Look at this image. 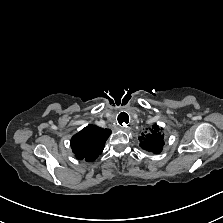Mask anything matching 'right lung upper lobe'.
Instances as JSON below:
<instances>
[{
    "instance_id": "obj_1",
    "label": "right lung upper lobe",
    "mask_w": 223,
    "mask_h": 223,
    "mask_svg": "<svg viewBox=\"0 0 223 223\" xmlns=\"http://www.w3.org/2000/svg\"><path fill=\"white\" fill-rule=\"evenodd\" d=\"M110 134L109 129L88 125L72 137V151L79 160L94 161L102 153Z\"/></svg>"
}]
</instances>
